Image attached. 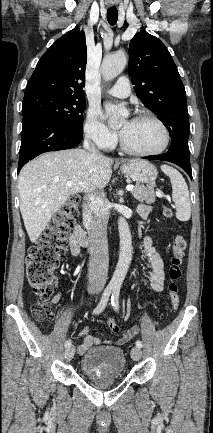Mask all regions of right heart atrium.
Masks as SVG:
<instances>
[{
	"label": "right heart atrium",
	"instance_id": "obj_1",
	"mask_svg": "<svg viewBox=\"0 0 213 433\" xmlns=\"http://www.w3.org/2000/svg\"><path fill=\"white\" fill-rule=\"evenodd\" d=\"M83 130L85 136L99 148L110 149L116 143V134L101 121L96 111L87 113Z\"/></svg>",
	"mask_w": 213,
	"mask_h": 433
}]
</instances>
